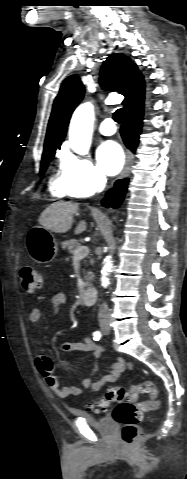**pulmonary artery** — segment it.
<instances>
[{
  "mask_svg": "<svg viewBox=\"0 0 187 479\" xmlns=\"http://www.w3.org/2000/svg\"><path fill=\"white\" fill-rule=\"evenodd\" d=\"M99 132L105 136H111L116 132L114 121L111 118L105 119L99 126Z\"/></svg>",
  "mask_w": 187,
  "mask_h": 479,
  "instance_id": "pulmonary-artery-1",
  "label": "pulmonary artery"
}]
</instances>
